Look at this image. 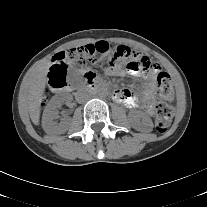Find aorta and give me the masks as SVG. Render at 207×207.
I'll return each mask as SVG.
<instances>
[{
  "label": "aorta",
  "instance_id": "1",
  "mask_svg": "<svg viewBox=\"0 0 207 207\" xmlns=\"http://www.w3.org/2000/svg\"><path fill=\"white\" fill-rule=\"evenodd\" d=\"M108 95V91H107V89H105V88H101L100 90H99V96L101 97V98H104V97H106Z\"/></svg>",
  "mask_w": 207,
  "mask_h": 207
}]
</instances>
